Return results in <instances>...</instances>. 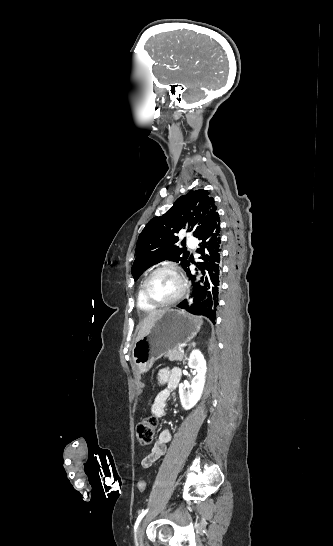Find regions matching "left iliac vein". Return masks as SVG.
I'll return each instance as SVG.
<instances>
[{
	"label": "left iliac vein",
	"mask_w": 333,
	"mask_h": 546,
	"mask_svg": "<svg viewBox=\"0 0 333 546\" xmlns=\"http://www.w3.org/2000/svg\"><path fill=\"white\" fill-rule=\"evenodd\" d=\"M137 542H138V546H143L142 535H141V527H139L138 530H137Z\"/></svg>",
	"instance_id": "4c4485c4"
}]
</instances>
